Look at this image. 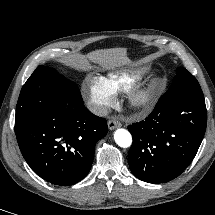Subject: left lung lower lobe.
<instances>
[{
	"instance_id": "obj_1",
	"label": "left lung lower lobe",
	"mask_w": 215,
	"mask_h": 215,
	"mask_svg": "<svg viewBox=\"0 0 215 215\" xmlns=\"http://www.w3.org/2000/svg\"><path fill=\"white\" fill-rule=\"evenodd\" d=\"M206 125L204 96L168 90L145 120L128 127L132 173L148 183L176 178L194 159Z\"/></svg>"
}]
</instances>
